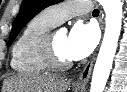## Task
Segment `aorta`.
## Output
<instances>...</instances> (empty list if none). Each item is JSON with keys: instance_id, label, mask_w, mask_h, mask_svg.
I'll return each instance as SVG.
<instances>
[{"instance_id": "obj_1", "label": "aorta", "mask_w": 127, "mask_h": 92, "mask_svg": "<svg viewBox=\"0 0 127 92\" xmlns=\"http://www.w3.org/2000/svg\"><path fill=\"white\" fill-rule=\"evenodd\" d=\"M105 11V33L93 70L90 92H103L112 68L122 26L121 0H99Z\"/></svg>"}]
</instances>
